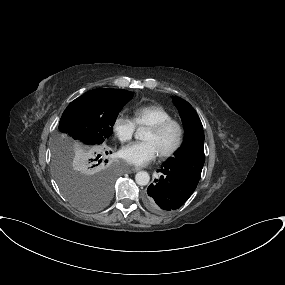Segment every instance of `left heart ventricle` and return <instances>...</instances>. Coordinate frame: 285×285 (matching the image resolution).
Returning a JSON list of instances; mask_svg holds the SVG:
<instances>
[{
  "label": "left heart ventricle",
  "instance_id": "1",
  "mask_svg": "<svg viewBox=\"0 0 285 285\" xmlns=\"http://www.w3.org/2000/svg\"><path fill=\"white\" fill-rule=\"evenodd\" d=\"M177 135V128L172 125L161 133H155L149 129L144 136V140L152 142L156 146L158 152L161 153L175 144Z\"/></svg>",
  "mask_w": 285,
  "mask_h": 285
}]
</instances>
